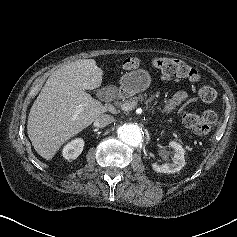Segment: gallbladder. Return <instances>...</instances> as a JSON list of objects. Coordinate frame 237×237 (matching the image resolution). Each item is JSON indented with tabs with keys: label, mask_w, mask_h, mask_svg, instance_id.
Wrapping results in <instances>:
<instances>
[{
	"label": "gallbladder",
	"mask_w": 237,
	"mask_h": 237,
	"mask_svg": "<svg viewBox=\"0 0 237 237\" xmlns=\"http://www.w3.org/2000/svg\"><path fill=\"white\" fill-rule=\"evenodd\" d=\"M108 90V87L102 89V93H100V98L107 100V97L105 96V92Z\"/></svg>",
	"instance_id": "gallbladder-1"
}]
</instances>
